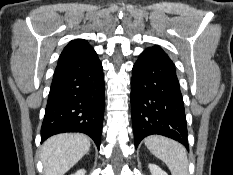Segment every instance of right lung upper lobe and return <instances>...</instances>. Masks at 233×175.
Listing matches in <instances>:
<instances>
[{
	"mask_svg": "<svg viewBox=\"0 0 233 175\" xmlns=\"http://www.w3.org/2000/svg\"><path fill=\"white\" fill-rule=\"evenodd\" d=\"M92 51H94L93 48L86 40L77 39L70 41L62 51L58 60V64L80 58Z\"/></svg>",
	"mask_w": 233,
	"mask_h": 175,
	"instance_id": "cb5924a9",
	"label": "right lung upper lobe"
}]
</instances>
